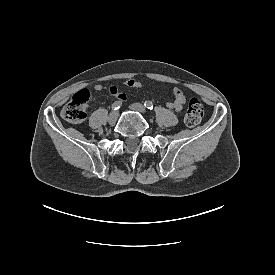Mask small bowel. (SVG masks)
Returning <instances> with one entry per match:
<instances>
[{
    "mask_svg": "<svg viewBox=\"0 0 275 275\" xmlns=\"http://www.w3.org/2000/svg\"><path fill=\"white\" fill-rule=\"evenodd\" d=\"M124 85L131 88H140L142 83L134 78H128L124 81ZM94 89L96 91H102L106 89L110 94L115 96L120 102L126 99V95L120 93L116 86L111 85L109 87H105L102 84L95 85ZM171 93L173 94L174 99L170 102L166 103V106L170 109H174L176 111H181L186 104V96L184 92L177 86H172L170 88Z\"/></svg>",
    "mask_w": 275,
    "mask_h": 275,
    "instance_id": "c3829d8e",
    "label": "small bowel"
}]
</instances>
